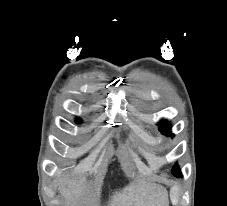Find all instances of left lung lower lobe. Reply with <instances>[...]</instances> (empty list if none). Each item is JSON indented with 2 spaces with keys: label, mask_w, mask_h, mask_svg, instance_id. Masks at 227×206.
I'll list each match as a JSON object with an SVG mask.
<instances>
[{
  "label": "left lung lower lobe",
  "mask_w": 227,
  "mask_h": 206,
  "mask_svg": "<svg viewBox=\"0 0 227 206\" xmlns=\"http://www.w3.org/2000/svg\"><path fill=\"white\" fill-rule=\"evenodd\" d=\"M176 177H181V173H178V174L176 175Z\"/></svg>",
  "instance_id": "left-lung-lower-lobe-1"
}]
</instances>
